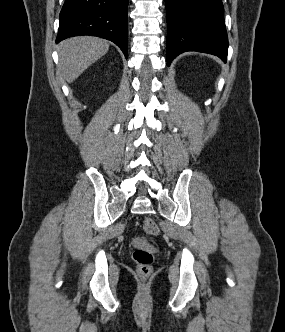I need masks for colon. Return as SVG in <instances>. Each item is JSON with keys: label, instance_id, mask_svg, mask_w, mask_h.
<instances>
[{"label": "colon", "instance_id": "5ec220e1", "mask_svg": "<svg viewBox=\"0 0 285 332\" xmlns=\"http://www.w3.org/2000/svg\"><path fill=\"white\" fill-rule=\"evenodd\" d=\"M144 230L150 236L156 235L159 231L156 223L148 217L144 220ZM133 246L132 258L136 263L137 273L146 278L153 270L154 255L157 251L156 245L146 237H136Z\"/></svg>", "mask_w": 285, "mask_h": 332}]
</instances>
